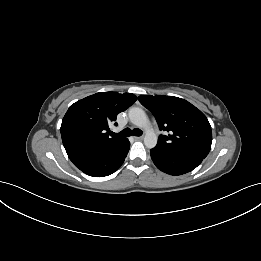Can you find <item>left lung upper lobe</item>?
I'll return each mask as SVG.
<instances>
[{
    "instance_id": "left-lung-upper-lobe-1",
    "label": "left lung upper lobe",
    "mask_w": 261,
    "mask_h": 261,
    "mask_svg": "<svg viewBox=\"0 0 261 261\" xmlns=\"http://www.w3.org/2000/svg\"><path fill=\"white\" fill-rule=\"evenodd\" d=\"M140 103L152 112L161 135L158 144L162 147L190 153L205 158L212 143V131L206 116L188 101L164 95H141Z\"/></svg>"
}]
</instances>
